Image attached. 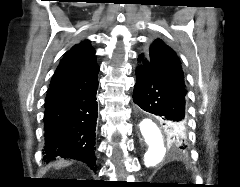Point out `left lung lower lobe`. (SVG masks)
Instances as JSON below:
<instances>
[{
	"label": "left lung lower lobe",
	"mask_w": 240,
	"mask_h": 187,
	"mask_svg": "<svg viewBox=\"0 0 240 187\" xmlns=\"http://www.w3.org/2000/svg\"><path fill=\"white\" fill-rule=\"evenodd\" d=\"M139 58L143 64L136 68L133 101L139 114L155 115L165 122L168 134L175 143L171 145L180 149L176 144L182 141L186 131H178L175 124L185 128L186 89L164 78L143 56Z\"/></svg>",
	"instance_id": "1"
}]
</instances>
